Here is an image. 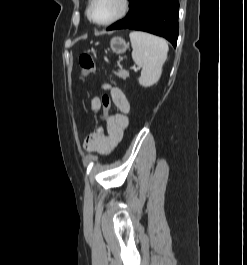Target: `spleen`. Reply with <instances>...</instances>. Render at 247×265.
Wrapping results in <instances>:
<instances>
[{
	"mask_svg": "<svg viewBox=\"0 0 247 265\" xmlns=\"http://www.w3.org/2000/svg\"><path fill=\"white\" fill-rule=\"evenodd\" d=\"M132 46V58L137 66L142 68L139 78L140 85L149 87L158 82L162 67L167 59V42L155 35L141 31L129 34Z\"/></svg>",
	"mask_w": 247,
	"mask_h": 265,
	"instance_id": "obj_1",
	"label": "spleen"
}]
</instances>
